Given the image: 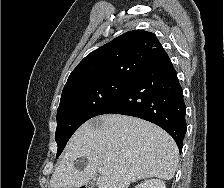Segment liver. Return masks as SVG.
<instances>
[{
    "mask_svg": "<svg viewBox=\"0 0 224 188\" xmlns=\"http://www.w3.org/2000/svg\"><path fill=\"white\" fill-rule=\"evenodd\" d=\"M78 158L84 167L75 166ZM179 150L160 127L131 116L101 115L84 123L71 137L51 180V188H79L99 169L98 188H128L140 179L173 178Z\"/></svg>",
    "mask_w": 224,
    "mask_h": 188,
    "instance_id": "obj_1",
    "label": "liver"
}]
</instances>
